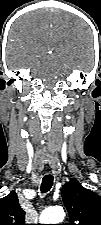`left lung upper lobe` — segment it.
<instances>
[{
    "label": "left lung upper lobe",
    "instance_id": "obj_1",
    "mask_svg": "<svg viewBox=\"0 0 101 225\" xmlns=\"http://www.w3.org/2000/svg\"><path fill=\"white\" fill-rule=\"evenodd\" d=\"M62 199L68 210L70 224L101 225V197L72 179L62 187Z\"/></svg>",
    "mask_w": 101,
    "mask_h": 225
}]
</instances>
